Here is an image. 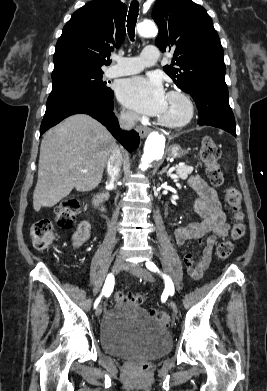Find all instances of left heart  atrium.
Listing matches in <instances>:
<instances>
[{
  "label": "left heart atrium",
  "instance_id": "1",
  "mask_svg": "<svg viewBox=\"0 0 267 391\" xmlns=\"http://www.w3.org/2000/svg\"><path fill=\"white\" fill-rule=\"evenodd\" d=\"M117 95L128 108L152 116L161 114L167 98L161 80L154 76H136L122 81Z\"/></svg>",
  "mask_w": 267,
  "mask_h": 391
}]
</instances>
